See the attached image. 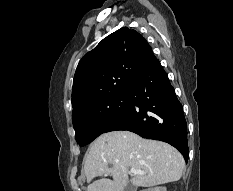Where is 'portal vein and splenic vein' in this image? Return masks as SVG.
I'll use <instances>...</instances> for the list:
<instances>
[{
	"mask_svg": "<svg viewBox=\"0 0 233 191\" xmlns=\"http://www.w3.org/2000/svg\"><path fill=\"white\" fill-rule=\"evenodd\" d=\"M130 172L132 174H140V175H144L145 174L143 171L136 170L135 168H131Z\"/></svg>",
	"mask_w": 233,
	"mask_h": 191,
	"instance_id": "portal-vein-and-splenic-vein-1",
	"label": "portal vein and splenic vein"
}]
</instances>
